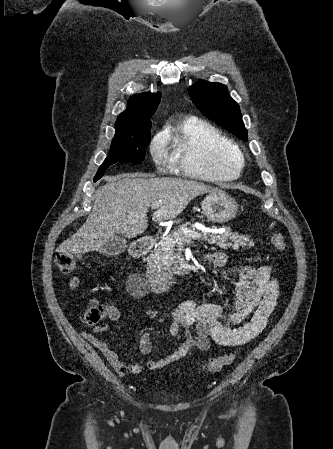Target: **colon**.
I'll return each mask as SVG.
<instances>
[{
	"label": "colon",
	"instance_id": "5ec220e1",
	"mask_svg": "<svg viewBox=\"0 0 333 449\" xmlns=\"http://www.w3.org/2000/svg\"><path fill=\"white\" fill-rule=\"evenodd\" d=\"M270 241L280 251L285 250L286 242L282 235L278 233L270 234ZM78 263V256L59 251L54 256V264L62 273H70L75 269ZM112 306L109 304H100L98 302L88 306L85 312V321L89 325H99L111 311ZM235 358V352H229L221 356L211 358L206 364L205 368L210 372L220 370L226 365H229Z\"/></svg>",
	"mask_w": 333,
	"mask_h": 449
}]
</instances>
